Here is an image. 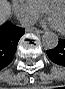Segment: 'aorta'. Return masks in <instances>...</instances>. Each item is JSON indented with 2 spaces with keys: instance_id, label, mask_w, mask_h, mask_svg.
Returning a JSON list of instances; mask_svg holds the SVG:
<instances>
[{
  "instance_id": "762f6f07",
  "label": "aorta",
  "mask_w": 65,
  "mask_h": 89,
  "mask_svg": "<svg viewBox=\"0 0 65 89\" xmlns=\"http://www.w3.org/2000/svg\"><path fill=\"white\" fill-rule=\"evenodd\" d=\"M58 36L54 32H45L42 36V43L45 49H54L58 45Z\"/></svg>"
}]
</instances>
